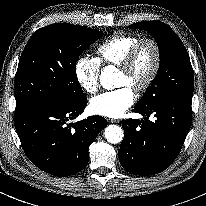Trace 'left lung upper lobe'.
Instances as JSON below:
<instances>
[{
	"mask_svg": "<svg viewBox=\"0 0 206 206\" xmlns=\"http://www.w3.org/2000/svg\"><path fill=\"white\" fill-rule=\"evenodd\" d=\"M129 28L148 31L155 38L160 54L158 73L135 107L146 108L169 98L192 97L194 72L187 50L176 33L160 21L138 22Z\"/></svg>",
	"mask_w": 206,
	"mask_h": 206,
	"instance_id": "obj_1",
	"label": "left lung upper lobe"
}]
</instances>
